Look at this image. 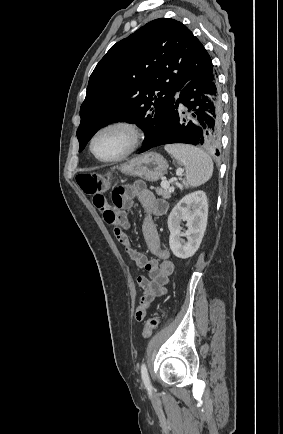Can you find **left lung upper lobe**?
Here are the masks:
<instances>
[{
    "label": "left lung upper lobe",
    "mask_w": 283,
    "mask_h": 434,
    "mask_svg": "<svg viewBox=\"0 0 283 434\" xmlns=\"http://www.w3.org/2000/svg\"><path fill=\"white\" fill-rule=\"evenodd\" d=\"M212 65L202 43L181 22L159 18L114 44L90 76L77 130L82 151L110 122L136 123L152 144L167 124L175 94Z\"/></svg>",
    "instance_id": "left-lung-upper-lobe-1"
}]
</instances>
